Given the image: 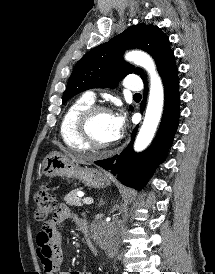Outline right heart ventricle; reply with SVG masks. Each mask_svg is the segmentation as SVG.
I'll list each match as a JSON object with an SVG mask.
<instances>
[{
	"label": "right heart ventricle",
	"instance_id": "e07e8e85",
	"mask_svg": "<svg viewBox=\"0 0 215 274\" xmlns=\"http://www.w3.org/2000/svg\"><path fill=\"white\" fill-rule=\"evenodd\" d=\"M93 104L94 101L84 95L73 101L64 113L60 123V135L68 147L76 150L88 149L78 135L77 121L83 111Z\"/></svg>",
	"mask_w": 215,
	"mask_h": 274
}]
</instances>
